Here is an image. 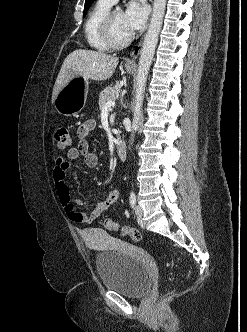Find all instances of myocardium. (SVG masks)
Listing matches in <instances>:
<instances>
[{
    "instance_id": "f54148a6",
    "label": "myocardium",
    "mask_w": 247,
    "mask_h": 332,
    "mask_svg": "<svg viewBox=\"0 0 247 332\" xmlns=\"http://www.w3.org/2000/svg\"><path fill=\"white\" fill-rule=\"evenodd\" d=\"M112 15L113 11L109 10L107 14L101 21L100 24V35L102 40L106 43V45L112 49H120L126 47L133 40V34H130L123 40H117L112 31Z\"/></svg>"
}]
</instances>
